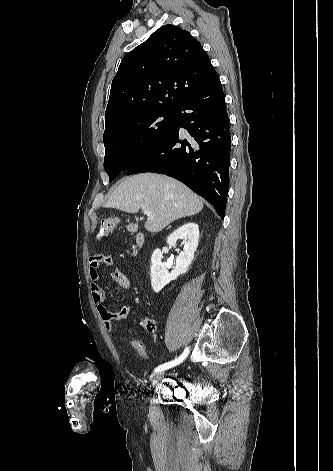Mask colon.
Segmentation results:
<instances>
[{"label":"colon","instance_id":"colon-1","mask_svg":"<svg viewBox=\"0 0 333 471\" xmlns=\"http://www.w3.org/2000/svg\"><path fill=\"white\" fill-rule=\"evenodd\" d=\"M123 222V219L118 217V216H111L108 218H105L101 221L99 230H98V237H104L108 235L112 230H114L120 223ZM128 228L130 231H135L136 230V225L132 222H128ZM145 326L149 331H153L155 329V324L151 320H147L145 322ZM127 344L132 347L134 350H136L141 356L147 357V349L145 345L137 339H128Z\"/></svg>","mask_w":333,"mask_h":471}]
</instances>
